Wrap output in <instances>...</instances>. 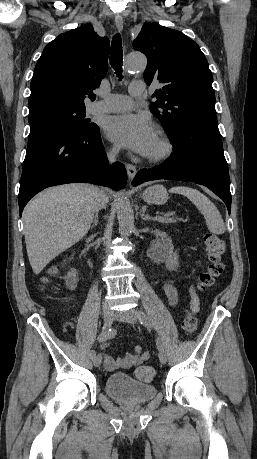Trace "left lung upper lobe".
Masks as SVG:
<instances>
[{
	"label": "left lung upper lobe",
	"instance_id": "1",
	"mask_svg": "<svg viewBox=\"0 0 257 459\" xmlns=\"http://www.w3.org/2000/svg\"><path fill=\"white\" fill-rule=\"evenodd\" d=\"M133 47L147 56L146 83L163 84L150 108L167 134L188 119L215 116L213 76L197 43L180 31L147 23Z\"/></svg>",
	"mask_w": 257,
	"mask_h": 459
}]
</instances>
